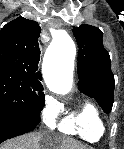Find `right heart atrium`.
Wrapping results in <instances>:
<instances>
[{"label": "right heart atrium", "mask_w": 124, "mask_h": 149, "mask_svg": "<svg viewBox=\"0 0 124 149\" xmlns=\"http://www.w3.org/2000/svg\"><path fill=\"white\" fill-rule=\"evenodd\" d=\"M58 112V106L51 99H47L41 110L42 122L47 127L54 128L56 126Z\"/></svg>", "instance_id": "obj_1"}]
</instances>
